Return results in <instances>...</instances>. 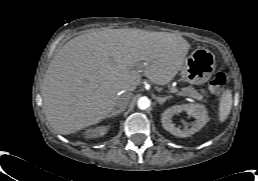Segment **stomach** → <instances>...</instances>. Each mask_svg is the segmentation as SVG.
Returning <instances> with one entry per match:
<instances>
[{"label": "stomach", "mask_w": 258, "mask_h": 181, "mask_svg": "<svg viewBox=\"0 0 258 181\" xmlns=\"http://www.w3.org/2000/svg\"><path fill=\"white\" fill-rule=\"evenodd\" d=\"M215 55L204 48L194 50L184 61L180 70L183 81L193 85L207 82L215 71Z\"/></svg>", "instance_id": "obj_1"}]
</instances>
